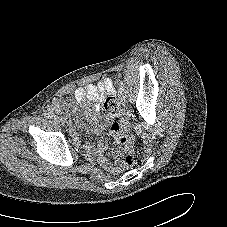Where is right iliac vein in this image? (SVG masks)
I'll return each instance as SVG.
<instances>
[{
    "instance_id": "right-iliac-vein-1",
    "label": "right iliac vein",
    "mask_w": 227,
    "mask_h": 227,
    "mask_svg": "<svg viewBox=\"0 0 227 227\" xmlns=\"http://www.w3.org/2000/svg\"><path fill=\"white\" fill-rule=\"evenodd\" d=\"M54 120H55L57 123L61 124V125H64V124H65L64 119L61 118V117H59V116H54Z\"/></svg>"
}]
</instances>
